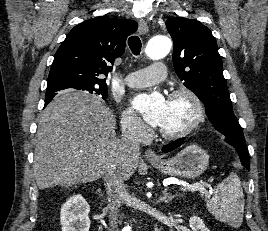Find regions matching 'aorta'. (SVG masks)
<instances>
[{
    "instance_id": "aorta-1",
    "label": "aorta",
    "mask_w": 268,
    "mask_h": 231,
    "mask_svg": "<svg viewBox=\"0 0 268 231\" xmlns=\"http://www.w3.org/2000/svg\"><path fill=\"white\" fill-rule=\"evenodd\" d=\"M172 42L166 36L153 37L145 49V54L153 59L159 60L164 58L171 50ZM124 231H131V227L128 225L124 228Z\"/></svg>"
}]
</instances>
